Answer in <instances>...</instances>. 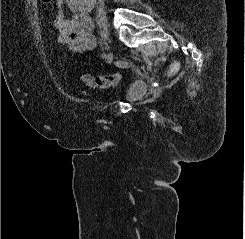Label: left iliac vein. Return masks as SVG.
I'll use <instances>...</instances> for the list:
<instances>
[{
	"label": "left iliac vein",
	"instance_id": "4c4485c4",
	"mask_svg": "<svg viewBox=\"0 0 245 239\" xmlns=\"http://www.w3.org/2000/svg\"><path fill=\"white\" fill-rule=\"evenodd\" d=\"M106 61H107V63H112V61H113V53L112 52H109L107 54Z\"/></svg>",
	"mask_w": 245,
	"mask_h": 239
}]
</instances>
